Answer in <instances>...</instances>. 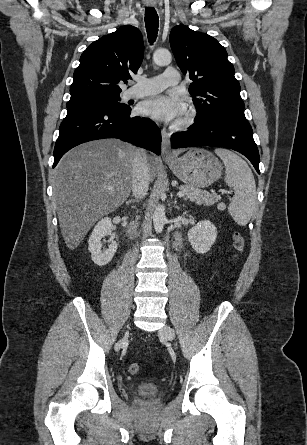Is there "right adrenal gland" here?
Listing matches in <instances>:
<instances>
[{
    "instance_id": "right-adrenal-gland-1",
    "label": "right adrenal gland",
    "mask_w": 307,
    "mask_h": 445,
    "mask_svg": "<svg viewBox=\"0 0 307 445\" xmlns=\"http://www.w3.org/2000/svg\"><path fill=\"white\" fill-rule=\"evenodd\" d=\"M131 202H139L137 198H130V200H126V204H131Z\"/></svg>"
}]
</instances>
